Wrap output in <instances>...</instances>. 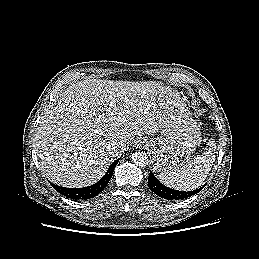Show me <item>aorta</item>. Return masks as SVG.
<instances>
[{
    "label": "aorta",
    "instance_id": "obj_1",
    "mask_svg": "<svg viewBox=\"0 0 259 259\" xmlns=\"http://www.w3.org/2000/svg\"><path fill=\"white\" fill-rule=\"evenodd\" d=\"M133 162L139 167H145L149 164L148 156L145 152L136 151L132 154Z\"/></svg>",
    "mask_w": 259,
    "mask_h": 259
}]
</instances>
